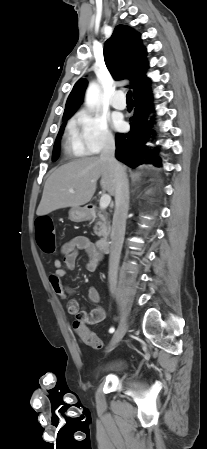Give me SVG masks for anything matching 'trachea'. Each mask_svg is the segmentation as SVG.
<instances>
[{"label":"trachea","instance_id":"1","mask_svg":"<svg viewBox=\"0 0 207 449\" xmlns=\"http://www.w3.org/2000/svg\"><path fill=\"white\" fill-rule=\"evenodd\" d=\"M126 99H127V102H132V92L131 91H128V93L126 95Z\"/></svg>","mask_w":207,"mask_h":449}]
</instances>
